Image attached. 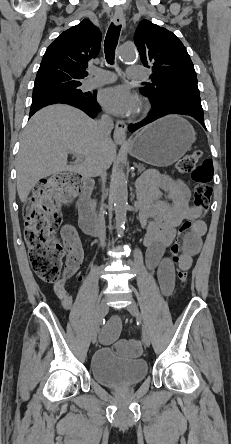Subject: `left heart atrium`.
Listing matches in <instances>:
<instances>
[{"instance_id": "1", "label": "left heart atrium", "mask_w": 231, "mask_h": 444, "mask_svg": "<svg viewBox=\"0 0 231 444\" xmlns=\"http://www.w3.org/2000/svg\"><path fill=\"white\" fill-rule=\"evenodd\" d=\"M100 104L110 113L126 116L138 106L137 98L124 86L104 89L99 95Z\"/></svg>"}]
</instances>
